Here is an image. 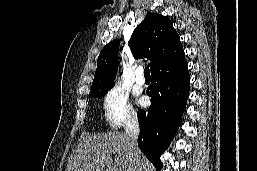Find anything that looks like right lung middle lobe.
I'll list each match as a JSON object with an SVG mask.
<instances>
[{
  "instance_id": "dd1d6c3e",
  "label": "right lung middle lobe",
  "mask_w": 257,
  "mask_h": 171,
  "mask_svg": "<svg viewBox=\"0 0 257 171\" xmlns=\"http://www.w3.org/2000/svg\"><path fill=\"white\" fill-rule=\"evenodd\" d=\"M111 89V88H110ZM110 89L98 91V92H93L91 93V97H96V98H102Z\"/></svg>"
}]
</instances>
